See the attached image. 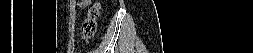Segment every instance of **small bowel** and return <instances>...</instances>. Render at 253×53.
I'll use <instances>...</instances> for the list:
<instances>
[{"label": "small bowel", "mask_w": 253, "mask_h": 53, "mask_svg": "<svg viewBox=\"0 0 253 53\" xmlns=\"http://www.w3.org/2000/svg\"><path fill=\"white\" fill-rule=\"evenodd\" d=\"M91 2H92L91 0H79L76 1V5L80 9H85L87 6L91 4Z\"/></svg>", "instance_id": "c3829d8e"}]
</instances>
